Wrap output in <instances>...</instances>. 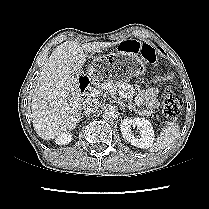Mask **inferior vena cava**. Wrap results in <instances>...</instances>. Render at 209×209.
<instances>
[{"label":"inferior vena cava","mask_w":209,"mask_h":209,"mask_svg":"<svg viewBox=\"0 0 209 209\" xmlns=\"http://www.w3.org/2000/svg\"><path fill=\"white\" fill-rule=\"evenodd\" d=\"M99 108V101L97 99H86L83 104V109L85 113L90 114L94 113Z\"/></svg>","instance_id":"obj_1"}]
</instances>
